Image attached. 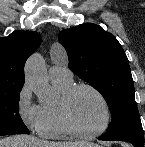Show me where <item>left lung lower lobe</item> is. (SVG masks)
I'll return each instance as SVG.
<instances>
[{"label":"left lung lower lobe","mask_w":145,"mask_h":147,"mask_svg":"<svg viewBox=\"0 0 145 147\" xmlns=\"http://www.w3.org/2000/svg\"><path fill=\"white\" fill-rule=\"evenodd\" d=\"M98 139L99 140H105V141L111 140V139H107L103 136L99 137ZM127 142L131 143L134 147H143L144 146V143H140V142H133V141H127Z\"/></svg>","instance_id":"obj_1"}]
</instances>
